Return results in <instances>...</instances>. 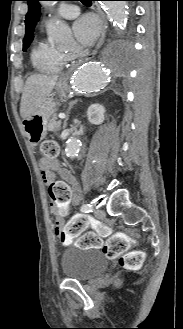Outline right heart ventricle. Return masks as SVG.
I'll return each instance as SVG.
<instances>
[{
	"mask_svg": "<svg viewBox=\"0 0 183 329\" xmlns=\"http://www.w3.org/2000/svg\"><path fill=\"white\" fill-rule=\"evenodd\" d=\"M31 62L37 71L56 73L66 66L68 57L51 44L40 41L32 50Z\"/></svg>",
	"mask_w": 183,
	"mask_h": 329,
	"instance_id": "e07e8e85",
	"label": "right heart ventricle"
}]
</instances>
